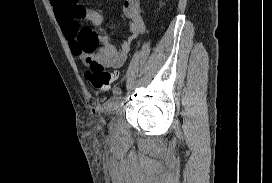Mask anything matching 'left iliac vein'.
I'll return each mask as SVG.
<instances>
[{
	"label": "left iliac vein",
	"mask_w": 272,
	"mask_h": 183,
	"mask_svg": "<svg viewBox=\"0 0 272 183\" xmlns=\"http://www.w3.org/2000/svg\"><path fill=\"white\" fill-rule=\"evenodd\" d=\"M120 102H121V97L115 99V100L112 101V102H109V103L107 104V110H108L109 112L117 110V109L119 108Z\"/></svg>",
	"instance_id": "left-iliac-vein-1"
}]
</instances>
